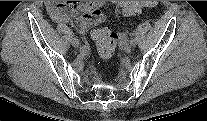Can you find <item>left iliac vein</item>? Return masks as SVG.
I'll return each instance as SVG.
<instances>
[{
	"label": "left iliac vein",
	"instance_id": "obj_1",
	"mask_svg": "<svg viewBox=\"0 0 207 121\" xmlns=\"http://www.w3.org/2000/svg\"><path fill=\"white\" fill-rule=\"evenodd\" d=\"M130 46H132V45H130ZM126 48H129V46L127 45Z\"/></svg>",
	"mask_w": 207,
	"mask_h": 121
}]
</instances>
